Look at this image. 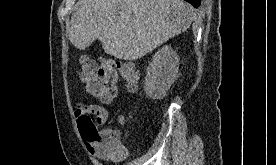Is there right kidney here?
Returning <instances> with one entry per match:
<instances>
[{
    "instance_id": "obj_1",
    "label": "right kidney",
    "mask_w": 276,
    "mask_h": 165,
    "mask_svg": "<svg viewBox=\"0 0 276 165\" xmlns=\"http://www.w3.org/2000/svg\"><path fill=\"white\" fill-rule=\"evenodd\" d=\"M179 58L171 46H163L149 63L144 91L149 98L162 99L177 78Z\"/></svg>"
}]
</instances>
